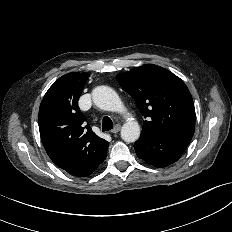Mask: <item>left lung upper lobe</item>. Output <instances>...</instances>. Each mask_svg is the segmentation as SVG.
Here are the masks:
<instances>
[{"label": "left lung upper lobe", "mask_w": 232, "mask_h": 232, "mask_svg": "<svg viewBox=\"0 0 232 232\" xmlns=\"http://www.w3.org/2000/svg\"><path fill=\"white\" fill-rule=\"evenodd\" d=\"M146 118L142 133L193 136L195 108L185 83L169 70L146 64L117 75Z\"/></svg>", "instance_id": "5c2ea615"}]
</instances>
